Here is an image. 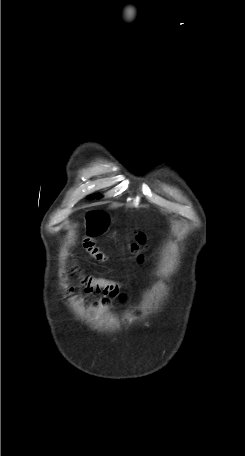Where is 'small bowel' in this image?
<instances>
[{"label":"small bowel","mask_w":245,"mask_h":456,"mask_svg":"<svg viewBox=\"0 0 245 456\" xmlns=\"http://www.w3.org/2000/svg\"><path fill=\"white\" fill-rule=\"evenodd\" d=\"M109 225V216L102 210H94L87 214L85 219V237L83 245L97 260L104 261L105 256L95 247L94 239L102 235ZM85 289L90 294H102V303L108 304L111 299L124 298L121 292L122 285L113 280L104 278L85 277Z\"/></svg>","instance_id":"small-bowel-1"}]
</instances>
